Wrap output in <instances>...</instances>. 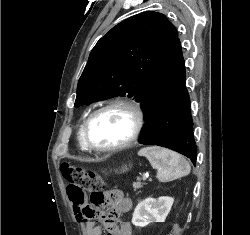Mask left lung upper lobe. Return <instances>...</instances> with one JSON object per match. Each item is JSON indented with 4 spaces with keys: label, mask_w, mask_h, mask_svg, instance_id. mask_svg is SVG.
<instances>
[{
    "label": "left lung upper lobe",
    "mask_w": 250,
    "mask_h": 235,
    "mask_svg": "<svg viewBox=\"0 0 250 235\" xmlns=\"http://www.w3.org/2000/svg\"><path fill=\"white\" fill-rule=\"evenodd\" d=\"M177 39L175 26L158 12L120 22L92 49L78 82L75 106L126 94L141 101Z\"/></svg>",
    "instance_id": "left-lung-upper-lobe-1"
}]
</instances>
